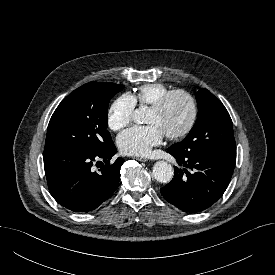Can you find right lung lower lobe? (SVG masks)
<instances>
[{
	"instance_id": "1",
	"label": "right lung lower lobe",
	"mask_w": 275,
	"mask_h": 275,
	"mask_svg": "<svg viewBox=\"0 0 275 275\" xmlns=\"http://www.w3.org/2000/svg\"><path fill=\"white\" fill-rule=\"evenodd\" d=\"M114 154L116 147L113 142L97 154L44 151L45 175L53 198L74 212H89L99 207L117 189L120 180V167L124 160L118 158L110 164ZM100 160L106 164L96 172L92 166Z\"/></svg>"
}]
</instances>
